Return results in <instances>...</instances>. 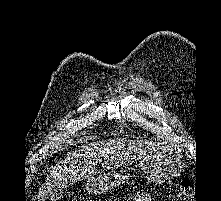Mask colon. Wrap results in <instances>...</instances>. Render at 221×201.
Instances as JSON below:
<instances>
[{
  "mask_svg": "<svg viewBox=\"0 0 221 201\" xmlns=\"http://www.w3.org/2000/svg\"><path fill=\"white\" fill-rule=\"evenodd\" d=\"M178 197L181 201L191 200L193 197V189L191 181L187 178H184L180 182Z\"/></svg>",
  "mask_w": 221,
  "mask_h": 201,
  "instance_id": "obj_1",
  "label": "colon"
}]
</instances>
